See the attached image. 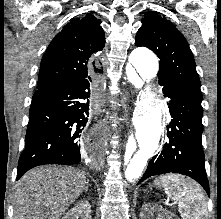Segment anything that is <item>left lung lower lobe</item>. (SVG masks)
Masks as SVG:
<instances>
[{
	"label": "left lung lower lobe",
	"mask_w": 221,
	"mask_h": 219,
	"mask_svg": "<svg viewBox=\"0 0 221 219\" xmlns=\"http://www.w3.org/2000/svg\"><path fill=\"white\" fill-rule=\"evenodd\" d=\"M164 96L169 97L170 114L173 118L168 126V142L155 155L140 179L164 173H179L196 180L208 196L209 184L202 150V99L173 86H164Z\"/></svg>",
	"instance_id": "left-lung-lower-lobe-1"
}]
</instances>
